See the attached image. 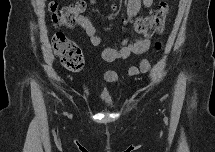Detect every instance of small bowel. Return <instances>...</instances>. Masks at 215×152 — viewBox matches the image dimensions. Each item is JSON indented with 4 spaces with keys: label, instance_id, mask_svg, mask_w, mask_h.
I'll list each match as a JSON object with an SVG mask.
<instances>
[{
    "label": "small bowel",
    "instance_id": "c3829d8e",
    "mask_svg": "<svg viewBox=\"0 0 215 152\" xmlns=\"http://www.w3.org/2000/svg\"><path fill=\"white\" fill-rule=\"evenodd\" d=\"M153 0H129L127 3V14L130 20L134 19L141 8V5L145 7H151ZM77 24L82 27L89 38V42L92 46L101 48V56L106 62H114L118 59H127L132 54H143L148 52L150 43L147 39L143 38H126L122 42L120 49H114L106 44L105 40L97 35L96 29L92 22L85 15H80L77 20ZM150 70V63L148 60L143 59L140 61L138 67L132 66L128 70L129 78H135L140 73H148ZM102 80L106 84L118 83V75L115 71H105L102 75Z\"/></svg>",
    "mask_w": 215,
    "mask_h": 152
}]
</instances>
